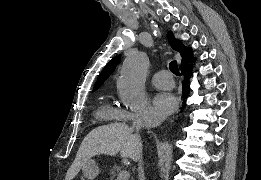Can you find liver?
<instances>
[{
	"label": "liver",
	"mask_w": 261,
	"mask_h": 180,
	"mask_svg": "<svg viewBox=\"0 0 261 180\" xmlns=\"http://www.w3.org/2000/svg\"><path fill=\"white\" fill-rule=\"evenodd\" d=\"M135 158L142 152V142L139 134H133V128L126 124H107L99 126L84 138L76 158L69 168L67 180H73L79 174L82 166L88 164L93 156H117Z\"/></svg>",
	"instance_id": "liver-1"
}]
</instances>
